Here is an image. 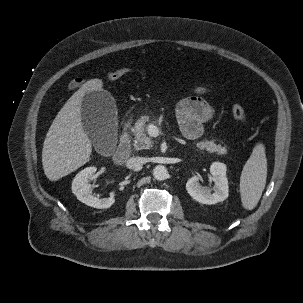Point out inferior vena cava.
<instances>
[{
	"label": "inferior vena cava",
	"mask_w": 303,
	"mask_h": 303,
	"mask_svg": "<svg viewBox=\"0 0 303 303\" xmlns=\"http://www.w3.org/2000/svg\"><path fill=\"white\" fill-rule=\"evenodd\" d=\"M145 162L146 160L143 157H132L127 161L126 167L129 169H138L145 164Z\"/></svg>",
	"instance_id": "inferior-vena-cava-1"
}]
</instances>
